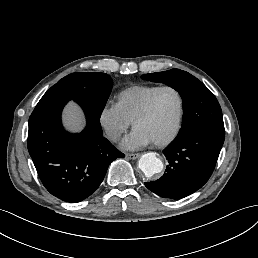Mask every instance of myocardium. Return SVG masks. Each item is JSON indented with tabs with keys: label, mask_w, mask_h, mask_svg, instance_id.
I'll use <instances>...</instances> for the list:
<instances>
[{
	"label": "myocardium",
	"mask_w": 258,
	"mask_h": 258,
	"mask_svg": "<svg viewBox=\"0 0 258 258\" xmlns=\"http://www.w3.org/2000/svg\"><path fill=\"white\" fill-rule=\"evenodd\" d=\"M164 90H172L177 95V98H178V113H177L176 124H175V127H174L172 133L166 138H156L154 136L146 134L142 130L141 126H142V123L150 115L152 104H153V101H154L156 95L159 92L164 91ZM182 114H183V100H182V96L179 93V91L177 89L171 87V86H162V87L157 88L154 91V93L148 98L144 109L142 110L141 114L138 116V118L136 119V121L134 123V128L139 134H141L143 137H145L146 139H148L152 143L157 144V145H166V144H169L170 142H172L174 140V138L176 137V135H177V133L180 129V126H181Z\"/></svg>",
	"instance_id": "f54148a6"
}]
</instances>
